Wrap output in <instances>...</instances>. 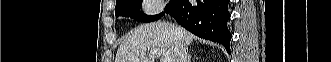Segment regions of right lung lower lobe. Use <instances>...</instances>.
Listing matches in <instances>:
<instances>
[{
    "label": "right lung lower lobe",
    "mask_w": 331,
    "mask_h": 62,
    "mask_svg": "<svg viewBox=\"0 0 331 62\" xmlns=\"http://www.w3.org/2000/svg\"><path fill=\"white\" fill-rule=\"evenodd\" d=\"M230 0H178L169 11L182 27L198 37L222 44L230 52L231 33L226 23L230 19ZM168 12V13H169Z\"/></svg>",
    "instance_id": "right-lung-lower-lobe-1"
}]
</instances>
